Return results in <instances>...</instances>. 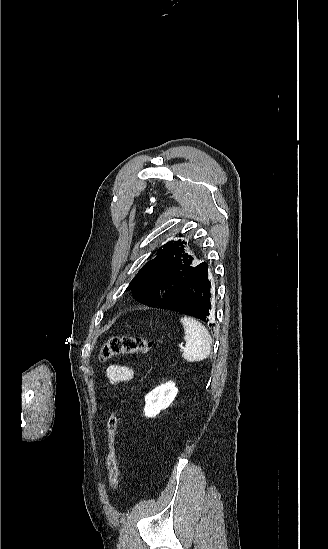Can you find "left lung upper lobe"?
<instances>
[{"label": "left lung upper lobe", "instance_id": "5c2ea615", "mask_svg": "<svg viewBox=\"0 0 328 549\" xmlns=\"http://www.w3.org/2000/svg\"><path fill=\"white\" fill-rule=\"evenodd\" d=\"M184 244L178 240L161 246L156 257L137 273L127 290L131 289L134 297L148 306L169 298L181 278L194 268L193 257L186 253Z\"/></svg>", "mask_w": 328, "mask_h": 549}]
</instances>
